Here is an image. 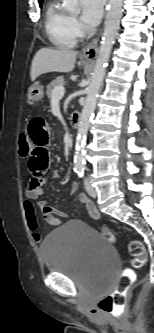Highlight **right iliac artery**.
<instances>
[{
  "instance_id": "obj_1",
  "label": "right iliac artery",
  "mask_w": 154,
  "mask_h": 333,
  "mask_svg": "<svg viewBox=\"0 0 154 333\" xmlns=\"http://www.w3.org/2000/svg\"><path fill=\"white\" fill-rule=\"evenodd\" d=\"M80 169H75V172H78Z\"/></svg>"
}]
</instances>
